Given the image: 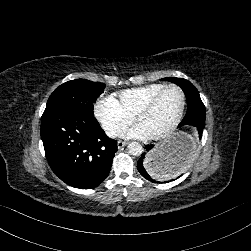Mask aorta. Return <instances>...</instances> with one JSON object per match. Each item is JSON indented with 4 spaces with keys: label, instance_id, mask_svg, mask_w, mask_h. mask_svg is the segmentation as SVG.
<instances>
[{
    "label": "aorta",
    "instance_id": "762f6f07",
    "mask_svg": "<svg viewBox=\"0 0 251 251\" xmlns=\"http://www.w3.org/2000/svg\"><path fill=\"white\" fill-rule=\"evenodd\" d=\"M129 154L133 156H139L143 152V147L138 142H131L127 146Z\"/></svg>",
    "mask_w": 251,
    "mask_h": 251
}]
</instances>
